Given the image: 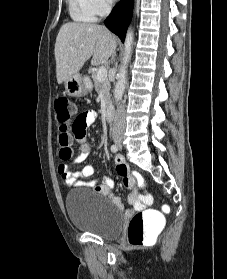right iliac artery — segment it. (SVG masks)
Returning a JSON list of instances; mask_svg holds the SVG:
<instances>
[{"instance_id":"obj_1","label":"right iliac artery","mask_w":227,"mask_h":279,"mask_svg":"<svg viewBox=\"0 0 227 279\" xmlns=\"http://www.w3.org/2000/svg\"><path fill=\"white\" fill-rule=\"evenodd\" d=\"M111 151L114 152V153L117 152V151H118V147H117L116 145L113 144V145L111 146Z\"/></svg>"}]
</instances>
